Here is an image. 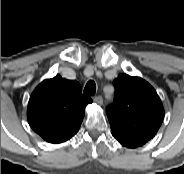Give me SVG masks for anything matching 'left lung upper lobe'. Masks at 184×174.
<instances>
[{"label": "left lung upper lobe", "instance_id": "5c2ea615", "mask_svg": "<svg viewBox=\"0 0 184 174\" xmlns=\"http://www.w3.org/2000/svg\"><path fill=\"white\" fill-rule=\"evenodd\" d=\"M114 103L107 107L113 130L150 140L164 119L162 102L154 88L139 77L120 74L114 81Z\"/></svg>", "mask_w": 184, "mask_h": 174}]
</instances>
